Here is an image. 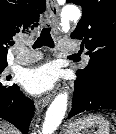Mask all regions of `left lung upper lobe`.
<instances>
[{
  "mask_svg": "<svg viewBox=\"0 0 116 134\" xmlns=\"http://www.w3.org/2000/svg\"><path fill=\"white\" fill-rule=\"evenodd\" d=\"M81 6L82 18L71 33L89 50L88 66L76 74L87 82L116 71V0H67Z\"/></svg>",
  "mask_w": 116,
  "mask_h": 134,
  "instance_id": "obj_1",
  "label": "left lung upper lobe"
}]
</instances>
